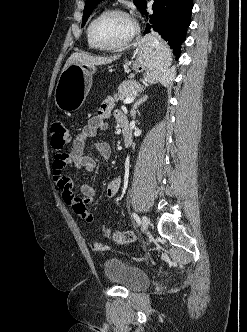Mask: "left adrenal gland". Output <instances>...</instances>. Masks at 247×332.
<instances>
[{
	"instance_id": "a2214340",
	"label": "left adrenal gland",
	"mask_w": 247,
	"mask_h": 332,
	"mask_svg": "<svg viewBox=\"0 0 247 332\" xmlns=\"http://www.w3.org/2000/svg\"><path fill=\"white\" fill-rule=\"evenodd\" d=\"M148 96L145 95H141V97H139L133 104L132 109H131V116L133 119H135L136 117V109L138 108V106H140L141 104H143L146 100H147Z\"/></svg>"
}]
</instances>
